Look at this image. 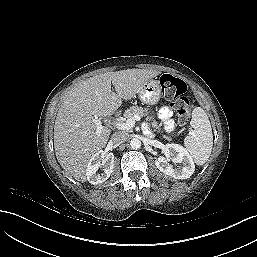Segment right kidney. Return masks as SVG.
I'll return each mask as SVG.
<instances>
[{"label":"right kidney","mask_w":257,"mask_h":257,"mask_svg":"<svg viewBox=\"0 0 257 257\" xmlns=\"http://www.w3.org/2000/svg\"><path fill=\"white\" fill-rule=\"evenodd\" d=\"M104 168L102 173H98L99 168ZM114 155L105 151H98L89 160L86 168V176L89 183L93 185L106 181L113 173Z\"/></svg>","instance_id":"ca27d5eb"}]
</instances>
